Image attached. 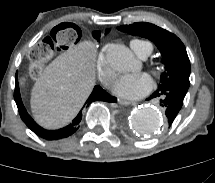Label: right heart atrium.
<instances>
[{
    "label": "right heart atrium",
    "instance_id": "1",
    "mask_svg": "<svg viewBox=\"0 0 215 183\" xmlns=\"http://www.w3.org/2000/svg\"><path fill=\"white\" fill-rule=\"evenodd\" d=\"M107 47L103 49V51L99 54L98 60H97V72L100 80L102 83L109 87L112 85L113 80L115 78V73L112 70V68L108 65L106 56H105V51Z\"/></svg>",
    "mask_w": 215,
    "mask_h": 183
}]
</instances>
